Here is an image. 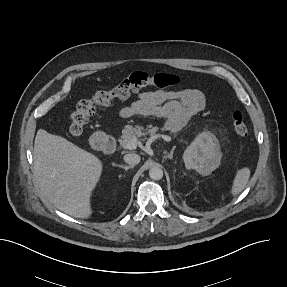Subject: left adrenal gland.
<instances>
[{"label":"left adrenal gland","mask_w":287,"mask_h":287,"mask_svg":"<svg viewBox=\"0 0 287 287\" xmlns=\"http://www.w3.org/2000/svg\"><path fill=\"white\" fill-rule=\"evenodd\" d=\"M174 150H175V146L172 148V150L170 151V153L167 154V153L165 152V154H166L165 158L173 159Z\"/></svg>","instance_id":"a2214340"}]
</instances>
